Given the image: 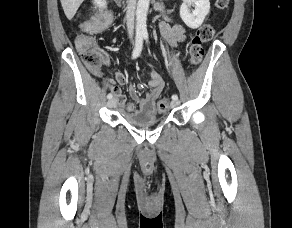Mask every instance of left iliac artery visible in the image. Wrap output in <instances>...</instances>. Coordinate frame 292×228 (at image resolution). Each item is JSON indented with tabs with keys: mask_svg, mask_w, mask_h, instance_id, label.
<instances>
[{
	"mask_svg": "<svg viewBox=\"0 0 292 228\" xmlns=\"http://www.w3.org/2000/svg\"><path fill=\"white\" fill-rule=\"evenodd\" d=\"M143 37L148 42V39H149L148 34L147 33H144ZM172 99L173 100H178V96L176 94H173L172 95Z\"/></svg>",
	"mask_w": 292,
	"mask_h": 228,
	"instance_id": "44dca946",
	"label": "left iliac artery"
}]
</instances>
